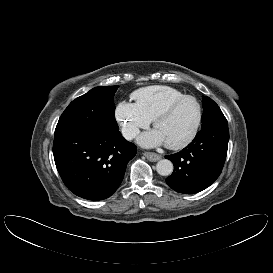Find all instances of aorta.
<instances>
[{
	"instance_id": "762f6f07",
	"label": "aorta",
	"mask_w": 273,
	"mask_h": 273,
	"mask_svg": "<svg viewBox=\"0 0 273 273\" xmlns=\"http://www.w3.org/2000/svg\"><path fill=\"white\" fill-rule=\"evenodd\" d=\"M156 171L162 176H169L173 172V164L168 159H161L156 164Z\"/></svg>"
}]
</instances>
